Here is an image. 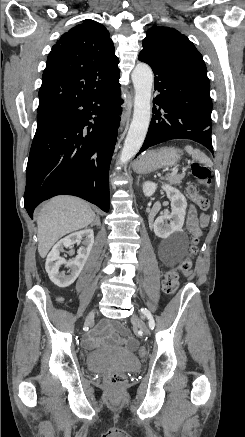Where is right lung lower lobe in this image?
Listing matches in <instances>:
<instances>
[{
    "label": "right lung lower lobe",
    "instance_id": "right-lung-lower-lobe-1",
    "mask_svg": "<svg viewBox=\"0 0 245 437\" xmlns=\"http://www.w3.org/2000/svg\"><path fill=\"white\" fill-rule=\"evenodd\" d=\"M120 93L116 80L92 96L64 101L37 119L24 193L31 218L42 201L60 194L109 211L108 173L120 124Z\"/></svg>",
    "mask_w": 245,
    "mask_h": 437
}]
</instances>
